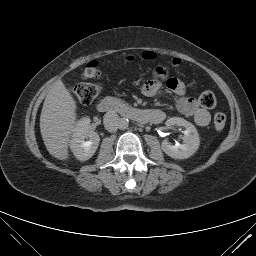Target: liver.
I'll use <instances>...</instances> for the list:
<instances>
[{"label": "liver", "mask_w": 256, "mask_h": 256, "mask_svg": "<svg viewBox=\"0 0 256 256\" xmlns=\"http://www.w3.org/2000/svg\"><path fill=\"white\" fill-rule=\"evenodd\" d=\"M76 101L61 80H57L44 100L40 132L48 152L59 160L69 158L68 146L76 126Z\"/></svg>", "instance_id": "obj_1"}]
</instances>
